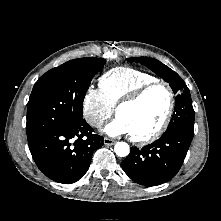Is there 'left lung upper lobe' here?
I'll use <instances>...</instances> for the list:
<instances>
[{"mask_svg": "<svg viewBox=\"0 0 221 221\" xmlns=\"http://www.w3.org/2000/svg\"><path fill=\"white\" fill-rule=\"evenodd\" d=\"M130 62L144 64L169 83L176 94L175 110L164 134L180 133L189 137L194 135V109L189 89L181 77L160 61L150 57L128 58Z\"/></svg>", "mask_w": 221, "mask_h": 221, "instance_id": "1", "label": "left lung upper lobe"}]
</instances>
